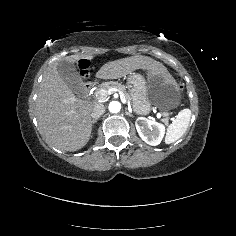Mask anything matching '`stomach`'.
I'll list each match as a JSON object with an SVG mask.
<instances>
[{"label": "stomach", "instance_id": "0dacf381", "mask_svg": "<svg viewBox=\"0 0 236 236\" xmlns=\"http://www.w3.org/2000/svg\"><path fill=\"white\" fill-rule=\"evenodd\" d=\"M126 83L137 114H148L152 105L168 110L180 101L174 79L163 71L153 72L148 80L140 73L131 72Z\"/></svg>", "mask_w": 236, "mask_h": 236}]
</instances>
